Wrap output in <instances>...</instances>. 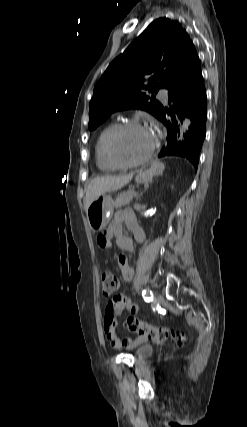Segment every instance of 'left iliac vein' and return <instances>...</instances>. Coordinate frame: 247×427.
I'll list each match as a JSON object with an SVG mask.
<instances>
[{"instance_id": "obj_1", "label": "left iliac vein", "mask_w": 247, "mask_h": 427, "mask_svg": "<svg viewBox=\"0 0 247 427\" xmlns=\"http://www.w3.org/2000/svg\"><path fill=\"white\" fill-rule=\"evenodd\" d=\"M163 300H164V298H163V296H162V295H160V294H155V296H154V301H155V302H157V303H162V302H163Z\"/></svg>"}]
</instances>
